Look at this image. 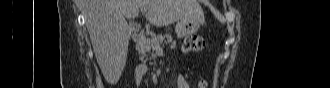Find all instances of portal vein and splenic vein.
I'll use <instances>...</instances> for the list:
<instances>
[{
    "label": "portal vein and splenic vein",
    "mask_w": 330,
    "mask_h": 88,
    "mask_svg": "<svg viewBox=\"0 0 330 88\" xmlns=\"http://www.w3.org/2000/svg\"><path fill=\"white\" fill-rule=\"evenodd\" d=\"M142 11L146 12L147 10H146V9H142ZM156 50H157V51H162V48H161L160 46H158V47L156 48Z\"/></svg>",
    "instance_id": "18ae733b"
}]
</instances>
